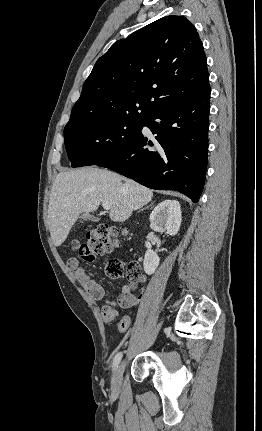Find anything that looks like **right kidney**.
Segmentation results:
<instances>
[{
    "mask_svg": "<svg viewBox=\"0 0 262 431\" xmlns=\"http://www.w3.org/2000/svg\"><path fill=\"white\" fill-rule=\"evenodd\" d=\"M150 227L156 232H166L174 236L178 233L181 225V208L177 200H164L158 204L150 214ZM147 251L144 256V270L151 275L157 269L160 258L151 249V243L145 242Z\"/></svg>",
    "mask_w": 262,
    "mask_h": 431,
    "instance_id": "obj_1",
    "label": "right kidney"
}]
</instances>
